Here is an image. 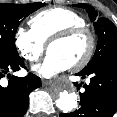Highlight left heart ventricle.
<instances>
[{
	"mask_svg": "<svg viewBox=\"0 0 117 117\" xmlns=\"http://www.w3.org/2000/svg\"><path fill=\"white\" fill-rule=\"evenodd\" d=\"M88 39L79 36L63 43H56L49 49V54H54L64 59L70 66L78 62L86 53Z\"/></svg>",
	"mask_w": 117,
	"mask_h": 117,
	"instance_id": "1",
	"label": "left heart ventricle"
}]
</instances>
